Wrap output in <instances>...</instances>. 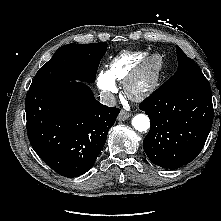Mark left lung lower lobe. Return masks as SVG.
Returning a JSON list of instances; mask_svg holds the SVG:
<instances>
[{"mask_svg":"<svg viewBox=\"0 0 221 221\" xmlns=\"http://www.w3.org/2000/svg\"><path fill=\"white\" fill-rule=\"evenodd\" d=\"M139 108L151 122L143 147L152 163L177 169L200 153L213 122L210 87L161 86Z\"/></svg>","mask_w":221,"mask_h":221,"instance_id":"left-lung-lower-lobe-1","label":"left lung lower lobe"}]
</instances>
